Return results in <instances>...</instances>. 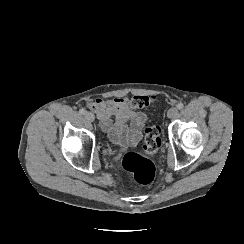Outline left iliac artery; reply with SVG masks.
Segmentation results:
<instances>
[{
  "label": "left iliac artery",
  "instance_id": "1",
  "mask_svg": "<svg viewBox=\"0 0 244 244\" xmlns=\"http://www.w3.org/2000/svg\"><path fill=\"white\" fill-rule=\"evenodd\" d=\"M183 107H184V104H183V103H178V104H177V108H178V109H183Z\"/></svg>",
  "mask_w": 244,
  "mask_h": 244
}]
</instances>
